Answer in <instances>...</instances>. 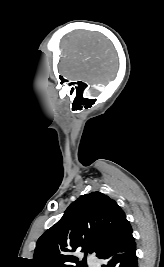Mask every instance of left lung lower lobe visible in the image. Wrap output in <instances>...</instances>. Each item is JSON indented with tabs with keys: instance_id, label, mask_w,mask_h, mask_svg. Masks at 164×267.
Listing matches in <instances>:
<instances>
[{
	"instance_id": "0a47b994",
	"label": "left lung lower lobe",
	"mask_w": 164,
	"mask_h": 267,
	"mask_svg": "<svg viewBox=\"0 0 164 267\" xmlns=\"http://www.w3.org/2000/svg\"><path fill=\"white\" fill-rule=\"evenodd\" d=\"M136 244L132 236V228L127 221L105 247L100 259L105 261L102 267H138Z\"/></svg>"
}]
</instances>
